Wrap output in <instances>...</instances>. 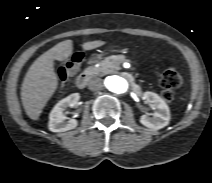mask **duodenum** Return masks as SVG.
Listing matches in <instances>:
<instances>
[{
    "label": "duodenum",
    "mask_w": 212,
    "mask_h": 183,
    "mask_svg": "<svg viewBox=\"0 0 212 183\" xmlns=\"http://www.w3.org/2000/svg\"><path fill=\"white\" fill-rule=\"evenodd\" d=\"M95 63V61L93 59L89 60V65H93ZM91 77V72L89 70L83 72L82 74H80L76 80V86L80 89L86 87V85L88 84V81Z\"/></svg>",
    "instance_id": "1"
}]
</instances>
